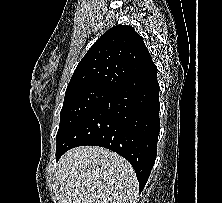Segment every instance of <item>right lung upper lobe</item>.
Wrapping results in <instances>:
<instances>
[{
  "mask_svg": "<svg viewBox=\"0 0 222 203\" xmlns=\"http://www.w3.org/2000/svg\"><path fill=\"white\" fill-rule=\"evenodd\" d=\"M151 64V55L135 29L116 25L88 50L76 67L67 90L99 87L113 91Z\"/></svg>",
  "mask_w": 222,
  "mask_h": 203,
  "instance_id": "1",
  "label": "right lung upper lobe"
}]
</instances>
